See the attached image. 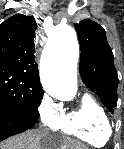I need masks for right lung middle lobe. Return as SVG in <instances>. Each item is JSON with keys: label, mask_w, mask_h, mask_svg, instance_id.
Returning <instances> with one entry per match:
<instances>
[{"label": "right lung middle lobe", "mask_w": 124, "mask_h": 149, "mask_svg": "<svg viewBox=\"0 0 124 149\" xmlns=\"http://www.w3.org/2000/svg\"><path fill=\"white\" fill-rule=\"evenodd\" d=\"M43 90L19 72L0 68V108L39 114Z\"/></svg>", "instance_id": "right-lung-middle-lobe-1"}]
</instances>
